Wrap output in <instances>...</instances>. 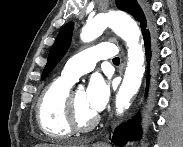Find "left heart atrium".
Returning <instances> with one entry per match:
<instances>
[{
  "instance_id": "39dd6f15",
  "label": "left heart atrium",
  "mask_w": 183,
  "mask_h": 147,
  "mask_svg": "<svg viewBox=\"0 0 183 147\" xmlns=\"http://www.w3.org/2000/svg\"><path fill=\"white\" fill-rule=\"evenodd\" d=\"M109 93V86L103 78L92 77L86 91V102L89 109L95 114L101 112L108 102Z\"/></svg>"
}]
</instances>
